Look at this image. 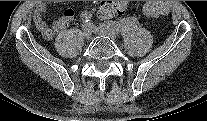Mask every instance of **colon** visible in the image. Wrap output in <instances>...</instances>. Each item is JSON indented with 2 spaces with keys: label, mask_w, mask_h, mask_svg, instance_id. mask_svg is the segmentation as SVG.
I'll return each instance as SVG.
<instances>
[{
  "label": "colon",
  "mask_w": 207,
  "mask_h": 121,
  "mask_svg": "<svg viewBox=\"0 0 207 121\" xmlns=\"http://www.w3.org/2000/svg\"><path fill=\"white\" fill-rule=\"evenodd\" d=\"M143 11L150 18H158L168 13V6L161 1H149L144 5ZM106 15L107 11L99 7V16L104 17Z\"/></svg>",
  "instance_id": "5ec220e1"
}]
</instances>
